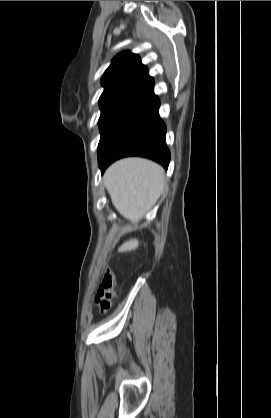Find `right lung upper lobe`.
I'll list each match as a JSON object with an SVG mask.
<instances>
[{
    "instance_id": "right-lung-upper-lobe-1",
    "label": "right lung upper lobe",
    "mask_w": 271,
    "mask_h": 418,
    "mask_svg": "<svg viewBox=\"0 0 271 418\" xmlns=\"http://www.w3.org/2000/svg\"><path fill=\"white\" fill-rule=\"evenodd\" d=\"M104 91L99 104L120 99L159 104L153 92L154 80L138 55L130 52L118 54L101 79Z\"/></svg>"
}]
</instances>
